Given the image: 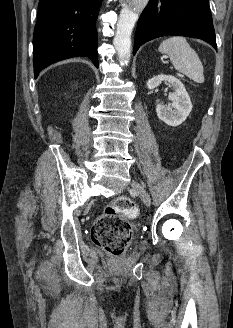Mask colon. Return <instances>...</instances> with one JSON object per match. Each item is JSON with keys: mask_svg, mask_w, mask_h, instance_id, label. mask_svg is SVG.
I'll return each instance as SVG.
<instances>
[{"mask_svg": "<svg viewBox=\"0 0 233 328\" xmlns=\"http://www.w3.org/2000/svg\"><path fill=\"white\" fill-rule=\"evenodd\" d=\"M137 214L138 208L130 198H116L93 224L92 241L108 254L121 256L131 239V228L127 219L134 218Z\"/></svg>", "mask_w": 233, "mask_h": 328, "instance_id": "1", "label": "colon"}]
</instances>
